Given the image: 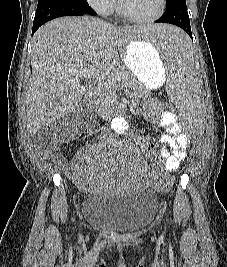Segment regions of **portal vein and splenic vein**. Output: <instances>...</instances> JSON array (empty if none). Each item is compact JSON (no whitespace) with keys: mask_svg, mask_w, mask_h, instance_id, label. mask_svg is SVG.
<instances>
[{"mask_svg":"<svg viewBox=\"0 0 227 267\" xmlns=\"http://www.w3.org/2000/svg\"><path fill=\"white\" fill-rule=\"evenodd\" d=\"M69 74L75 77H85V78L92 79L98 84L107 85V81H109V79L103 72L95 69L94 67H86V68L69 71Z\"/></svg>","mask_w":227,"mask_h":267,"instance_id":"18ae733b","label":"portal vein and splenic vein"}]
</instances>
